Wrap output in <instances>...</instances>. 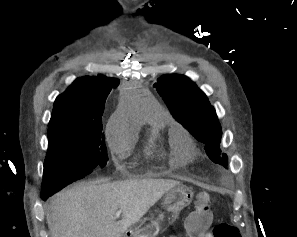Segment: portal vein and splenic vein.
<instances>
[{
	"label": "portal vein and splenic vein",
	"mask_w": 297,
	"mask_h": 237,
	"mask_svg": "<svg viewBox=\"0 0 297 237\" xmlns=\"http://www.w3.org/2000/svg\"><path fill=\"white\" fill-rule=\"evenodd\" d=\"M121 213H122V211H121V210H118V211L116 212V217H119Z\"/></svg>",
	"instance_id": "obj_1"
}]
</instances>
